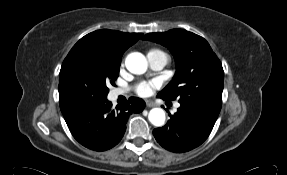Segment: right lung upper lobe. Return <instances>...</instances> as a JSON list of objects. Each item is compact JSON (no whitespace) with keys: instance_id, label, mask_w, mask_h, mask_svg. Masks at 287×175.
Instances as JSON below:
<instances>
[{"instance_id":"obj_1","label":"right lung upper lobe","mask_w":287,"mask_h":175,"mask_svg":"<svg viewBox=\"0 0 287 175\" xmlns=\"http://www.w3.org/2000/svg\"><path fill=\"white\" fill-rule=\"evenodd\" d=\"M142 35L108 29L98 30L81 38L71 51L81 45H86L91 55L100 61L121 62L124 51L137 42Z\"/></svg>"}]
</instances>
